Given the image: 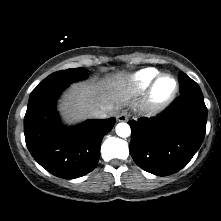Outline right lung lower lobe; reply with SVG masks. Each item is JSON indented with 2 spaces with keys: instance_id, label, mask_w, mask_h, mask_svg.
Listing matches in <instances>:
<instances>
[{
  "instance_id": "right-lung-lower-lobe-1",
  "label": "right lung lower lobe",
  "mask_w": 221,
  "mask_h": 221,
  "mask_svg": "<svg viewBox=\"0 0 221 221\" xmlns=\"http://www.w3.org/2000/svg\"><path fill=\"white\" fill-rule=\"evenodd\" d=\"M56 87L30 96L24 117L27 148L51 174L74 179L91 172L100 157V144L115 119L88 120L75 127L61 124L56 100L66 88Z\"/></svg>"
}]
</instances>
